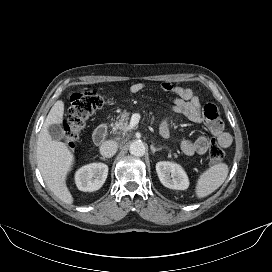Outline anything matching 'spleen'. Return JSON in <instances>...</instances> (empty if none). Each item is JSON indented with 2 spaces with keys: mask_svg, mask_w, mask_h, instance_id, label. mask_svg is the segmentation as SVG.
<instances>
[{
  "mask_svg": "<svg viewBox=\"0 0 272 272\" xmlns=\"http://www.w3.org/2000/svg\"><path fill=\"white\" fill-rule=\"evenodd\" d=\"M229 172L228 165L218 163L201 173L196 184V196L204 198L217 190L226 180Z\"/></svg>",
  "mask_w": 272,
  "mask_h": 272,
  "instance_id": "obj_1",
  "label": "spleen"
}]
</instances>
